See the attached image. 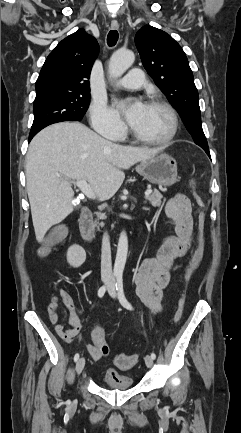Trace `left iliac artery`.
Wrapping results in <instances>:
<instances>
[{
	"label": "left iliac artery",
	"mask_w": 241,
	"mask_h": 433,
	"mask_svg": "<svg viewBox=\"0 0 241 433\" xmlns=\"http://www.w3.org/2000/svg\"><path fill=\"white\" fill-rule=\"evenodd\" d=\"M116 290L118 292V298H119V301L122 304V306L125 307L128 310H133L132 305L129 303V301L126 299V297L124 295L123 278H122V276H117ZM151 357H152V359H155L156 358V354L152 353Z\"/></svg>",
	"instance_id": "left-iliac-artery-1"
}]
</instances>
